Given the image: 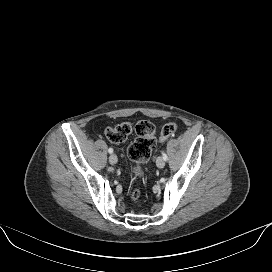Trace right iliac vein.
Returning a JSON list of instances; mask_svg holds the SVG:
<instances>
[{"label": "right iliac vein", "instance_id": "right-iliac-vein-1", "mask_svg": "<svg viewBox=\"0 0 272 272\" xmlns=\"http://www.w3.org/2000/svg\"><path fill=\"white\" fill-rule=\"evenodd\" d=\"M117 161H118V158H117V156H116L115 154H111V155L109 156V162H110L111 164H116Z\"/></svg>", "mask_w": 272, "mask_h": 272}]
</instances>
